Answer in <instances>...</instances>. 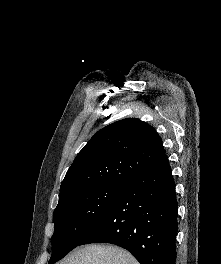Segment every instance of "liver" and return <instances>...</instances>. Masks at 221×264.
Wrapping results in <instances>:
<instances>
[{
  "mask_svg": "<svg viewBox=\"0 0 221 264\" xmlns=\"http://www.w3.org/2000/svg\"><path fill=\"white\" fill-rule=\"evenodd\" d=\"M58 264H139L126 250L112 245H88Z\"/></svg>",
  "mask_w": 221,
  "mask_h": 264,
  "instance_id": "obj_1",
  "label": "liver"
}]
</instances>
